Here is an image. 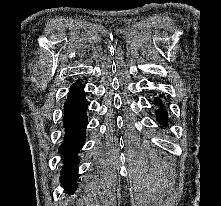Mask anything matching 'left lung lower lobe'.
<instances>
[{"label": "left lung lower lobe", "mask_w": 221, "mask_h": 206, "mask_svg": "<svg viewBox=\"0 0 221 206\" xmlns=\"http://www.w3.org/2000/svg\"><path fill=\"white\" fill-rule=\"evenodd\" d=\"M155 105L160 106L156 111L157 120L160 124L166 126L167 124V111L160 100H155Z\"/></svg>", "instance_id": "left-lung-lower-lobe-1"}]
</instances>
